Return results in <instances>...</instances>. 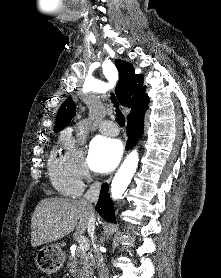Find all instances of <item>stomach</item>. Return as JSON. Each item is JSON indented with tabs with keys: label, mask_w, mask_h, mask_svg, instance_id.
Wrapping results in <instances>:
<instances>
[{
	"label": "stomach",
	"mask_w": 221,
	"mask_h": 278,
	"mask_svg": "<svg viewBox=\"0 0 221 278\" xmlns=\"http://www.w3.org/2000/svg\"><path fill=\"white\" fill-rule=\"evenodd\" d=\"M65 262V254L58 245L43 247L36 256L38 268L48 274L59 271Z\"/></svg>",
	"instance_id": "0dacf381"
}]
</instances>
